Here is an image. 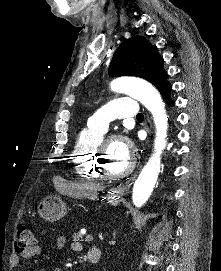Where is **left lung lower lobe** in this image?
Instances as JSON below:
<instances>
[{
    "mask_svg": "<svg viewBox=\"0 0 221 271\" xmlns=\"http://www.w3.org/2000/svg\"><path fill=\"white\" fill-rule=\"evenodd\" d=\"M171 88H172L171 85L167 84L164 87H162L159 91L162 94V96L165 98V100L168 102V104L173 106V102L169 98Z\"/></svg>",
    "mask_w": 221,
    "mask_h": 271,
    "instance_id": "1",
    "label": "left lung lower lobe"
}]
</instances>
